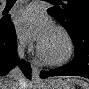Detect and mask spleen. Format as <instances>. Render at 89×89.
<instances>
[{
    "mask_svg": "<svg viewBox=\"0 0 89 89\" xmlns=\"http://www.w3.org/2000/svg\"><path fill=\"white\" fill-rule=\"evenodd\" d=\"M77 82L81 85L82 89H89L88 83L83 82V81H77Z\"/></svg>",
    "mask_w": 89,
    "mask_h": 89,
    "instance_id": "3e777b00",
    "label": "spleen"
}]
</instances>
